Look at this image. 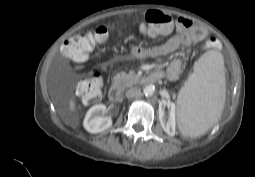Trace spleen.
Masks as SVG:
<instances>
[{"label":"spleen","mask_w":255,"mask_h":177,"mask_svg":"<svg viewBox=\"0 0 255 177\" xmlns=\"http://www.w3.org/2000/svg\"><path fill=\"white\" fill-rule=\"evenodd\" d=\"M224 59L218 51L204 53L177 98V119L184 136L206 133L220 118L225 103Z\"/></svg>","instance_id":"1"}]
</instances>
